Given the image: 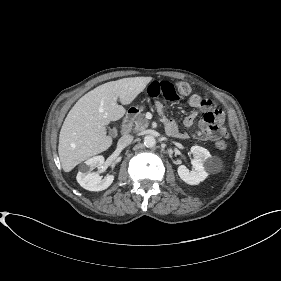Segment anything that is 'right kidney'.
Returning <instances> with one entry per match:
<instances>
[{
	"label": "right kidney",
	"mask_w": 281,
	"mask_h": 281,
	"mask_svg": "<svg viewBox=\"0 0 281 281\" xmlns=\"http://www.w3.org/2000/svg\"><path fill=\"white\" fill-rule=\"evenodd\" d=\"M104 160L102 155L94 156L80 165L76 179L81 187L89 191H102L112 184L114 175H107L102 179L98 173L93 172L104 164Z\"/></svg>",
	"instance_id": "1"
}]
</instances>
